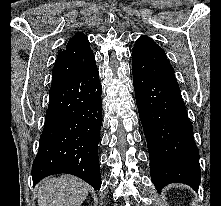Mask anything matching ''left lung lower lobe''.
<instances>
[{
  "label": "left lung lower lobe",
  "mask_w": 221,
  "mask_h": 206,
  "mask_svg": "<svg viewBox=\"0 0 221 206\" xmlns=\"http://www.w3.org/2000/svg\"><path fill=\"white\" fill-rule=\"evenodd\" d=\"M133 84L153 184L159 192L175 182L197 191L199 152L177 81L133 72Z\"/></svg>",
  "instance_id": "left-lung-lower-lobe-1"
}]
</instances>
